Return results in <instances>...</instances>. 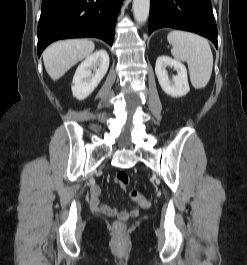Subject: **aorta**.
I'll list each match as a JSON object with an SVG mask.
<instances>
[{"label":"aorta","instance_id":"obj_1","mask_svg":"<svg viewBox=\"0 0 247 265\" xmlns=\"http://www.w3.org/2000/svg\"><path fill=\"white\" fill-rule=\"evenodd\" d=\"M150 0H133V13L137 23H145L149 16Z\"/></svg>","mask_w":247,"mask_h":265}]
</instances>
